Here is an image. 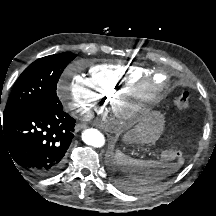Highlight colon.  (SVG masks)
<instances>
[{
    "mask_svg": "<svg viewBox=\"0 0 216 216\" xmlns=\"http://www.w3.org/2000/svg\"><path fill=\"white\" fill-rule=\"evenodd\" d=\"M175 103L179 110H187L190 107V94L188 92H182L176 98ZM162 156L167 160L181 159L182 153L178 148H172L165 150Z\"/></svg>",
    "mask_w": 216,
    "mask_h": 216,
    "instance_id": "1",
    "label": "colon"
}]
</instances>
